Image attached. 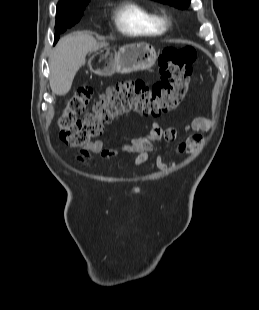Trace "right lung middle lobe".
<instances>
[{"label": "right lung middle lobe", "mask_w": 259, "mask_h": 310, "mask_svg": "<svg viewBox=\"0 0 259 310\" xmlns=\"http://www.w3.org/2000/svg\"><path fill=\"white\" fill-rule=\"evenodd\" d=\"M90 0L82 1L80 4L70 8H57L56 11V25L55 29L58 33H63L67 28H70L76 24L84 13L86 4ZM59 39L58 35H55V42Z\"/></svg>", "instance_id": "dd1d6c3e"}]
</instances>
